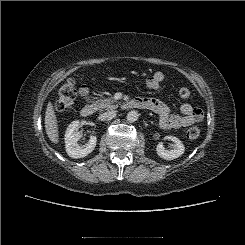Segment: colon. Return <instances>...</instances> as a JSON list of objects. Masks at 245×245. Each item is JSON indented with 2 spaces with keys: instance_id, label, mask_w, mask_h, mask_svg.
Segmentation results:
<instances>
[{
  "instance_id": "obj_1",
  "label": "colon",
  "mask_w": 245,
  "mask_h": 245,
  "mask_svg": "<svg viewBox=\"0 0 245 245\" xmlns=\"http://www.w3.org/2000/svg\"><path fill=\"white\" fill-rule=\"evenodd\" d=\"M85 87L78 89L77 83L75 80H68L59 90L58 98L55 103V108L57 111L63 112L70 109L73 105V102L78 94L81 93V90ZM179 96L183 99H186L190 96V90L186 87H182L178 92ZM187 137L189 139H196L200 135V130L197 127H191L187 130Z\"/></svg>"
}]
</instances>
